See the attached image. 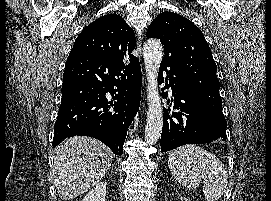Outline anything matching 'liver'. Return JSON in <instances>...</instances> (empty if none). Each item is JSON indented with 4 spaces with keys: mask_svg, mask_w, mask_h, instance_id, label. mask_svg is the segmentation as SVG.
<instances>
[{
    "mask_svg": "<svg viewBox=\"0 0 271 201\" xmlns=\"http://www.w3.org/2000/svg\"><path fill=\"white\" fill-rule=\"evenodd\" d=\"M52 178L61 199L71 200L98 183L112 163L111 150L97 139L76 136L55 149Z\"/></svg>",
    "mask_w": 271,
    "mask_h": 201,
    "instance_id": "obj_1",
    "label": "liver"
}]
</instances>
